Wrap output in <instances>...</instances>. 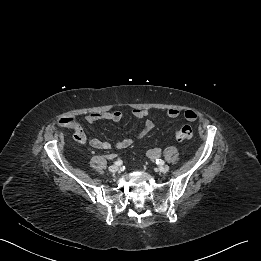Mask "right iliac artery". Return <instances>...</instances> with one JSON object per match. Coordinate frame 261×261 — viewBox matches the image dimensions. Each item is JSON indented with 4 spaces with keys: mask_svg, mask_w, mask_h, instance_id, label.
Masks as SVG:
<instances>
[{
    "mask_svg": "<svg viewBox=\"0 0 261 261\" xmlns=\"http://www.w3.org/2000/svg\"><path fill=\"white\" fill-rule=\"evenodd\" d=\"M122 163H123L122 160L119 159V160L115 161L114 164L117 166H120V165H122Z\"/></svg>",
    "mask_w": 261,
    "mask_h": 261,
    "instance_id": "obj_1",
    "label": "right iliac artery"
}]
</instances>
